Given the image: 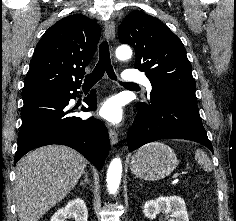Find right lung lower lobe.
I'll return each instance as SVG.
<instances>
[{
	"instance_id": "98d812e1",
	"label": "right lung lower lobe",
	"mask_w": 236,
	"mask_h": 221,
	"mask_svg": "<svg viewBox=\"0 0 236 221\" xmlns=\"http://www.w3.org/2000/svg\"><path fill=\"white\" fill-rule=\"evenodd\" d=\"M80 85L59 90L54 95H35L23 99L22 125L18 136V148L14 164L29 151L51 144L69 146L90 160L99 170L109 152V136L106 126L98 119L83 120L70 116L74 108L69 100L76 97ZM88 109L95 110L96 95L93 91L84 99Z\"/></svg>"
}]
</instances>
